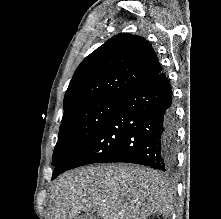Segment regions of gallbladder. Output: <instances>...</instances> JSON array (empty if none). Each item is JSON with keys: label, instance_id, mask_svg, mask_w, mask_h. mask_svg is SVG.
Segmentation results:
<instances>
[{"label": "gallbladder", "instance_id": "bac80fb5", "mask_svg": "<svg viewBox=\"0 0 221 219\" xmlns=\"http://www.w3.org/2000/svg\"><path fill=\"white\" fill-rule=\"evenodd\" d=\"M99 212L97 209H92L84 212L79 219H99Z\"/></svg>", "mask_w": 221, "mask_h": 219}]
</instances>
